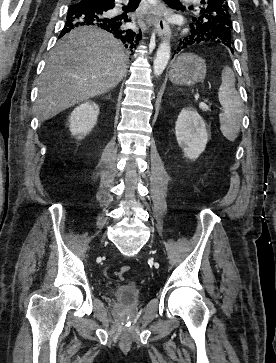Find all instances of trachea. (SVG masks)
Here are the masks:
<instances>
[{
    "mask_svg": "<svg viewBox=\"0 0 276 363\" xmlns=\"http://www.w3.org/2000/svg\"><path fill=\"white\" fill-rule=\"evenodd\" d=\"M141 0H129V4L138 6ZM169 5L179 6L181 5L179 0H164Z\"/></svg>",
    "mask_w": 276,
    "mask_h": 363,
    "instance_id": "trachea-1",
    "label": "trachea"
}]
</instances>
